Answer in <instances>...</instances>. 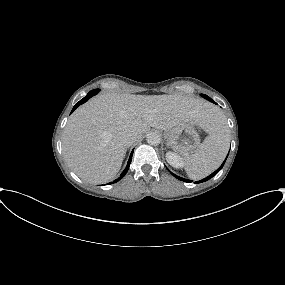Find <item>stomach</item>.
Returning a JSON list of instances; mask_svg holds the SVG:
<instances>
[{"mask_svg": "<svg viewBox=\"0 0 285 285\" xmlns=\"http://www.w3.org/2000/svg\"><path fill=\"white\" fill-rule=\"evenodd\" d=\"M196 127L199 124H185L165 131L168 145L175 151L187 155L197 150L200 144V136Z\"/></svg>", "mask_w": 285, "mask_h": 285, "instance_id": "stomach-1", "label": "stomach"}]
</instances>
